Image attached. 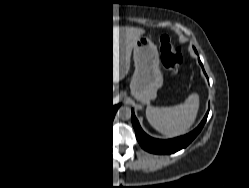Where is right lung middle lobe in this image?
<instances>
[{
    "label": "right lung middle lobe",
    "mask_w": 249,
    "mask_h": 188,
    "mask_svg": "<svg viewBox=\"0 0 249 188\" xmlns=\"http://www.w3.org/2000/svg\"><path fill=\"white\" fill-rule=\"evenodd\" d=\"M76 39V34L74 31L66 32L59 37V42L68 46V44H73Z\"/></svg>",
    "instance_id": "1"
}]
</instances>
